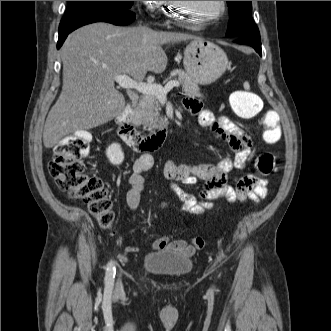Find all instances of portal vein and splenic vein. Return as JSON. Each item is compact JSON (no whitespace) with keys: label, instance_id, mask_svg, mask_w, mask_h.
Listing matches in <instances>:
<instances>
[{"label":"portal vein and splenic vein","instance_id":"1","mask_svg":"<svg viewBox=\"0 0 331 331\" xmlns=\"http://www.w3.org/2000/svg\"><path fill=\"white\" fill-rule=\"evenodd\" d=\"M114 80L117 84L124 89H134L143 94H152L155 95L157 98H166L167 93L173 89L174 87H179V82L172 80L168 82L164 87L155 83H144V82H137L131 79L128 75L122 74L114 77Z\"/></svg>","mask_w":331,"mask_h":331}]
</instances>
